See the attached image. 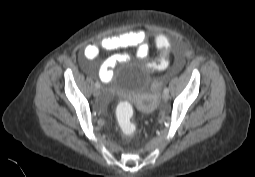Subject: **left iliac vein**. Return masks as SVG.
Wrapping results in <instances>:
<instances>
[{"mask_svg":"<svg viewBox=\"0 0 255 177\" xmlns=\"http://www.w3.org/2000/svg\"><path fill=\"white\" fill-rule=\"evenodd\" d=\"M169 98H170L169 93H163V94H162V99H163L164 101H167Z\"/></svg>","mask_w":255,"mask_h":177,"instance_id":"1","label":"left iliac vein"}]
</instances>
